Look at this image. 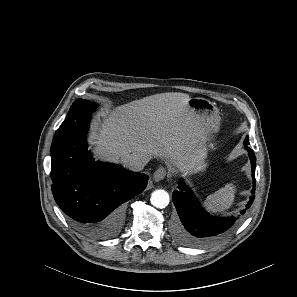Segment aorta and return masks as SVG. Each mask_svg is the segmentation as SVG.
Segmentation results:
<instances>
[{
    "label": "aorta",
    "instance_id": "1",
    "mask_svg": "<svg viewBox=\"0 0 297 297\" xmlns=\"http://www.w3.org/2000/svg\"><path fill=\"white\" fill-rule=\"evenodd\" d=\"M169 194L167 191L158 189L151 194V204L157 208H165L169 204Z\"/></svg>",
    "mask_w": 297,
    "mask_h": 297
}]
</instances>
